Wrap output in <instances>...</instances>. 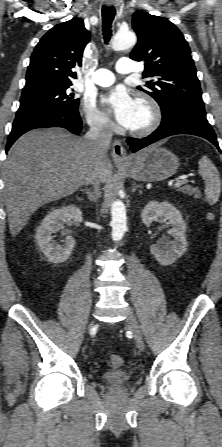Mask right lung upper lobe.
I'll list each match as a JSON object with an SVG mask.
<instances>
[{
  "label": "right lung upper lobe",
  "mask_w": 222,
  "mask_h": 447,
  "mask_svg": "<svg viewBox=\"0 0 222 447\" xmlns=\"http://www.w3.org/2000/svg\"><path fill=\"white\" fill-rule=\"evenodd\" d=\"M90 33L83 20L73 18L50 29L36 45L26 74L24 89L72 84L76 78L72 71L81 65Z\"/></svg>",
  "instance_id": "obj_1"
}]
</instances>
